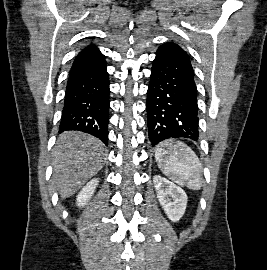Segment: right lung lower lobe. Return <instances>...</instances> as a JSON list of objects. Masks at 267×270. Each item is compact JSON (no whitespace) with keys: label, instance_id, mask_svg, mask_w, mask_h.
I'll return each instance as SVG.
<instances>
[{"label":"right lung lower lobe","instance_id":"obj_1","mask_svg":"<svg viewBox=\"0 0 267 270\" xmlns=\"http://www.w3.org/2000/svg\"><path fill=\"white\" fill-rule=\"evenodd\" d=\"M109 92L105 57L96 46L89 45L70 70L59 132H86L107 145Z\"/></svg>","mask_w":267,"mask_h":270}]
</instances>
